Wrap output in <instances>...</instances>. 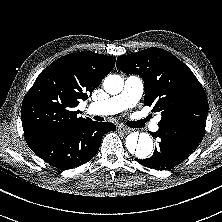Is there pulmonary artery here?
<instances>
[{
  "label": "pulmonary artery",
  "instance_id": "obj_1",
  "mask_svg": "<svg viewBox=\"0 0 222 222\" xmlns=\"http://www.w3.org/2000/svg\"><path fill=\"white\" fill-rule=\"evenodd\" d=\"M143 94V82L137 76H129L124 82L123 90L103 101L89 104L88 110L96 115H113L126 109L134 107ZM151 129L158 130V121L156 120Z\"/></svg>",
  "mask_w": 222,
  "mask_h": 222
}]
</instances>
